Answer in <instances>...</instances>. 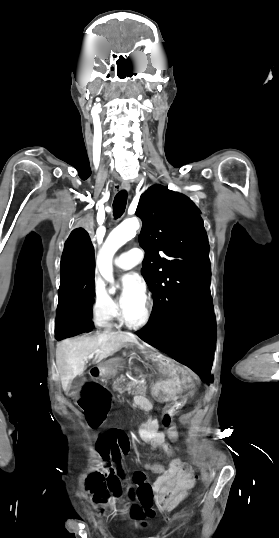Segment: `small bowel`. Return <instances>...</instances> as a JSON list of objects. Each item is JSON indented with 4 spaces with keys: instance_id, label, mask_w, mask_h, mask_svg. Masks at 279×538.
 Returning <instances> with one entry per match:
<instances>
[{
    "instance_id": "small-bowel-1",
    "label": "small bowel",
    "mask_w": 279,
    "mask_h": 538,
    "mask_svg": "<svg viewBox=\"0 0 279 538\" xmlns=\"http://www.w3.org/2000/svg\"><path fill=\"white\" fill-rule=\"evenodd\" d=\"M183 404V400H177L169 404L165 409L161 423L165 430H159L160 422L151 420L147 422L141 429L140 435L142 439L150 443L154 448L161 449L174 456L175 451L172 446L166 443V438L176 440L178 435L174 424V418ZM179 459L174 458L171 469H165L160 464L146 463L145 467L155 473L160 474L154 484L157 503L160 507H168L172 502L182 495L187 489L192 487L193 481H183L178 473L177 468Z\"/></svg>"
}]
</instances>
